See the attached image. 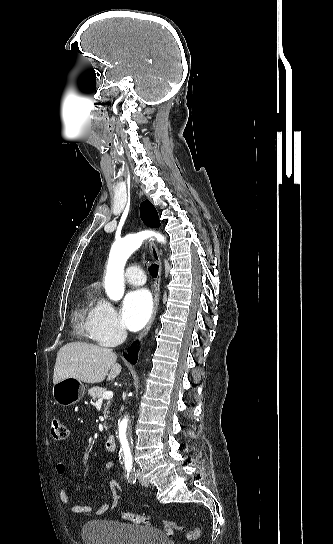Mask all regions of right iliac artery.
Wrapping results in <instances>:
<instances>
[{
	"instance_id": "1",
	"label": "right iliac artery",
	"mask_w": 333,
	"mask_h": 544,
	"mask_svg": "<svg viewBox=\"0 0 333 544\" xmlns=\"http://www.w3.org/2000/svg\"><path fill=\"white\" fill-rule=\"evenodd\" d=\"M125 468H126L127 476H129L133 466L129 463V464H125Z\"/></svg>"
}]
</instances>
